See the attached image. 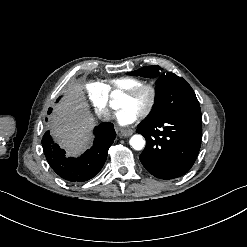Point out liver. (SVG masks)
<instances>
[{
  "label": "liver",
  "mask_w": 247,
  "mask_h": 247,
  "mask_svg": "<svg viewBox=\"0 0 247 247\" xmlns=\"http://www.w3.org/2000/svg\"><path fill=\"white\" fill-rule=\"evenodd\" d=\"M84 82H72L61 91L48 117L50 136L65 151L66 157L78 158L91 148L97 126L87 102Z\"/></svg>",
  "instance_id": "liver-1"
}]
</instances>
